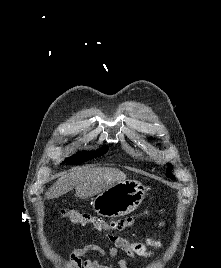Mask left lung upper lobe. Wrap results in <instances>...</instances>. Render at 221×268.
Returning <instances> with one entry per match:
<instances>
[{
	"label": "left lung upper lobe",
	"mask_w": 221,
	"mask_h": 268,
	"mask_svg": "<svg viewBox=\"0 0 221 268\" xmlns=\"http://www.w3.org/2000/svg\"><path fill=\"white\" fill-rule=\"evenodd\" d=\"M172 170V165L169 164V167H168V171H167V176H169L170 178L173 177V175H171L169 172Z\"/></svg>",
	"instance_id": "left-lung-upper-lobe-1"
}]
</instances>
